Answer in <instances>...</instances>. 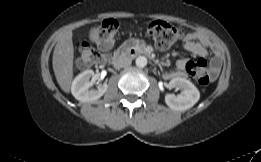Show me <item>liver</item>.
I'll use <instances>...</instances> for the list:
<instances>
[{
    "mask_svg": "<svg viewBox=\"0 0 261 162\" xmlns=\"http://www.w3.org/2000/svg\"><path fill=\"white\" fill-rule=\"evenodd\" d=\"M73 58L72 29H66L58 35L52 58L56 80L65 93H69L73 79Z\"/></svg>",
    "mask_w": 261,
    "mask_h": 162,
    "instance_id": "6515ba94",
    "label": "liver"
}]
</instances>
